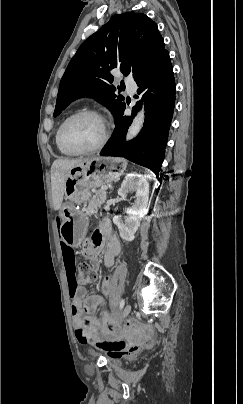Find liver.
<instances>
[{
	"label": "liver",
	"instance_id": "6515ba94",
	"mask_svg": "<svg viewBox=\"0 0 243 404\" xmlns=\"http://www.w3.org/2000/svg\"><path fill=\"white\" fill-rule=\"evenodd\" d=\"M91 158H79V160H70V158H61L55 160L51 168V190L54 210H60L64 198L65 174L70 168H75L78 164L90 162Z\"/></svg>",
	"mask_w": 243,
	"mask_h": 404
}]
</instances>
